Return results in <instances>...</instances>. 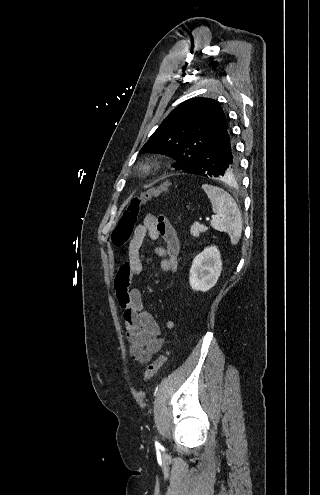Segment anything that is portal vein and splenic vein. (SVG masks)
Instances as JSON below:
<instances>
[{
	"mask_svg": "<svg viewBox=\"0 0 320 495\" xmlns=\"http://www.w3.org/2000/svg\"><path fill=\"white\" fill-rule=\"evenodd\" d=\"M211 218H212V219H214V218H215V216H214V215H212V217H211ZM206 220H207V221H209V220H210V218H206Z\"/></svg>",
	"mask_w": 320,
	"mask_h": 495,
	"instance_id": "obj_1",
	"label": "portal vein and splenic vein"
}]
</instances>
